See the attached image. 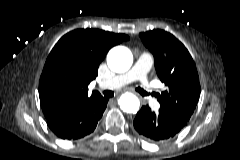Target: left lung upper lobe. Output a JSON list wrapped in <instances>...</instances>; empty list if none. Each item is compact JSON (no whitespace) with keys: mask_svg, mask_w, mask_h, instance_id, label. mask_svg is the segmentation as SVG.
<instances>
[{"mask_svg":"<svg viewBox=\"0 0 240 160\" xmlns=\"http://www.w3.org/2000/svg\"><path fill=\"white\" fill-rule=\"evenodd\" d=\"M139 36L153 53L157 75L167 86L158 97L160 108L189 121L200 96L199 77L190 53L164 30H152Z\"/></svg>","mask_w":240,"mask_h":160,"instance_id":"5c2ea615","label":"left lung upper lobe"}]
</instances>
